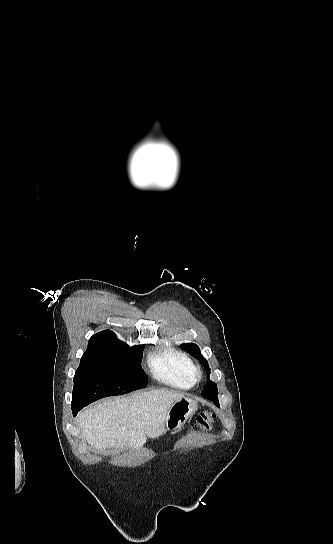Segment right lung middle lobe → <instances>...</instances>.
<instances>
[{
  "mask_svg": "<svg viewBox=\"0 0 333 544\" xmlns=\"http://www.w3.org/2000/svg\"><path fill=\"white\" fill-rule=\"evenodd\" d=\"M143 349L117 341L104 353H84L74 376L72 407L146 387L148 379L140 364Z\"/></svg>",
  "mask_w": 333,
  "mask_h": 544,
  "instance_id": "obj_1",
  "label": "right lung middle lobe"
}]
</instances>
